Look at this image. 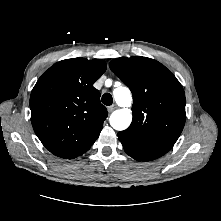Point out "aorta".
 I'll use <instances>...</instances> for the list:
<instances>
[{"label": "aorta", "instance_id": "aorta-1", "mask_svg": "<svg viewBox=\"0 0 221 221\" xmlns=\"http://www.w3.org/2000/svg\"><path fill=\"white\" fill-rule=\"evenodd\" d=\"M114 99L121 109L115 110L110 116V125L117 131L125 130L132 121V95L130 90L125 86H119L113 91Z\"/></svg>", "mask_w": 221, "mask_h": 221}]
</instances>
